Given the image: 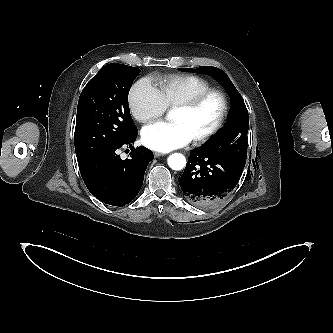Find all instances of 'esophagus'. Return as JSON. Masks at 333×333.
Segmentation results:
<instances>
[{
  "label": "esophagus",
  "instance_id": "34e87169",
  "mask_svg": "<svg viewBox=\"0 0 333 333\" xmlns=\"http://www.w3.org/2000/svg\"><path fill=\"white\" fill-rule=\"evenodd\" d=\"M160 156H163V154L160 153V152H154V157H155V158H158V157H160Z\"/></svg>",
  "mask_w": 333,
  "mask_h": 333
}]
</instances>
